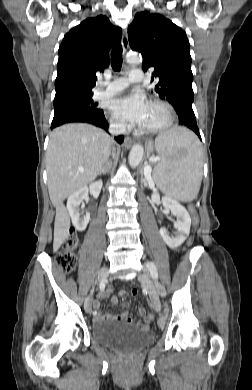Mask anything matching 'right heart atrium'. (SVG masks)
Returning a JSON list of instances; mask_svg holds the SVG:
<instances>
[{
	"instance_id": "obj_1",
	"label": "right heart atrium",
	"mask_w": 252,
	"mask_h": 390,
	"mask_svg": "<svg viewBox=\"0 0 252 390\" xmlns=\"http://www.w3.org/2000/svg\"><path fill=\"white\" fill-rule=\"evenodd\" d=\"M111 125H112V127L116 128V129H120V130H123L126 128L125 123L123 121H121L120 119L115 118V117H113L111 119Z\"/></svg>"
}]
</instances>
